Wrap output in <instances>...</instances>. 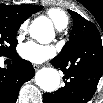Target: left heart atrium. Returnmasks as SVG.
Returning <instances> with one entry per match:
<instances>
[{
	"instance_id": "39dd6f15",
	"label": "left heart atrium",
	"mask_w": 103,
	"mask_h": 103,
	"mask_svg": "<svg viewBox=\"0 0 103 103\" xmlns=\"http://www.w3.org/2000/svg\"><path fill=\"white\" fill-rule=\"evenodd\" d=\"M20 56L33 63H42L55 54L53 47L42 45L33 41L23 43L19 47Z\"/></svg>"
}]
</instances>
